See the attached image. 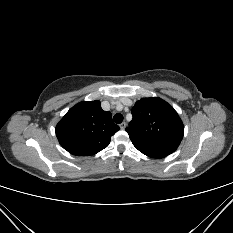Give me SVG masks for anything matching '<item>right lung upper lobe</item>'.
<instances>
[{"label": "right lung upper lobe", "instance_id": "cb5924a9", "mask_svg": "<svg viewBox=\"0 0 233 233\" xmlns=\"http://www.w3.org/2000/svg\"><path fill=\"white\" fill-rule=\"evenodd\" d=\"M119 126L100 101H82L72 107L56 126L61 146L77 156L94 155L106 148Z\"/></svg>", "mask_w": 233, "mask_h": 233}]
</instances>
